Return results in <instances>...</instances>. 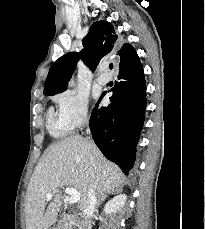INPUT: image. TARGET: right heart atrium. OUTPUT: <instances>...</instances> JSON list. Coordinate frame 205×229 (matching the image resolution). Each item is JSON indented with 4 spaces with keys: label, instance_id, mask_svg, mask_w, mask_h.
Segmentation results:
<instances>
[{
    "label": "right heart atrium",
    "instance_id": "1",
    "mask_svg": "<svg viewBox=\"0 0 205 229\" xmlns=\"http://www.w3.org/2000/svg\"><path fill=\"white\" fill-rule=\"evenodd\" d=\"M58 106L59 117L70 130H78L90 121L87 100L71 91L61 92L54 96Z\"/></svg>",
    "mask_w": 205,
    "mask_h": 229
}]
</instances>
